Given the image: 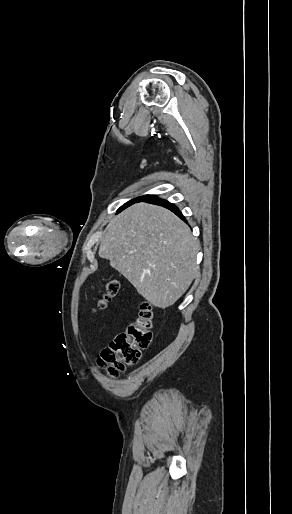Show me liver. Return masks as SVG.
Wrapping results in <instances>:
<instances>
[{"instance_id": "liver-1", "label": "liver", "mask_w": 292, "mask_h": 514, "mask_svg": "<svg viewBox=\"0 0 292 514\" xmlns=\"http://www.w3.org/2000/svg\"><path fill=\"white\" fill-rule=\"evenodd\" d=\"M197 252L190 228L175 214L151 204H134L108 224L98 254L110 260L149 304L164 310L193 282Z\"/></svg>"}]
</instances>
